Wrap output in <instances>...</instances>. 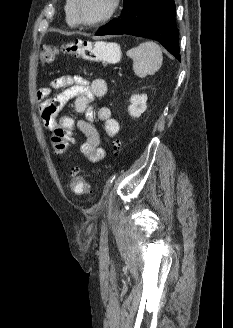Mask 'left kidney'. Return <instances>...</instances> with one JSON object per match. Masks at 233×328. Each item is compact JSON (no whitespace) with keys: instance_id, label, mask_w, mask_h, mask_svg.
Segmentation results:
<instances>
[{"instance_id":"1","label":"left kidney","mask_w":233,"mask_h":328,"mask_svg":"<svg viewBox=\"0 0 233 328\" xmlns=\"http://www.w3.org/2000/svg\"><path fill=\"white\" fill-rule=\"evenodd\" d=\"M147 95H132L130 98V105L128 107V112L130 116L138 118L147 109Z\"/></svg>"}]
</instances>
